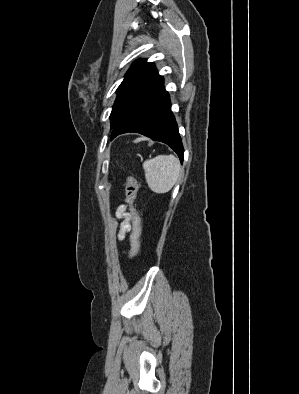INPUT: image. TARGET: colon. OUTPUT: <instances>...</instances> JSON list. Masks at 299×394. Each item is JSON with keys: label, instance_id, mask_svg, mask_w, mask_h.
I'll use <instances>...</instances> for the list:
<instances>
[{"label": "colon", "instance_id": "1", "mask_svg": "<svg viewBox=\"0 0 299 394\" xmlns=\"http://www.w3.org/2000/svg\"><path fill=\"white\" fill-rule=\"evenodd\" d=\"M124 189L126 193V204L128 212L132 218L131 246L132 258H136L140 253V237H141V218L135 207V199L138 191V183L133 177H127L124 181Z\"/></svg>", "mask_w": 299, "mask_h": 394}]
</instances>
